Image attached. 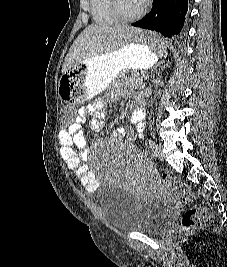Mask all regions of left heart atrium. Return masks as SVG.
Segmentation results:
<instances>
[{
  "instance_id": "left-heart-atrium-1",
  "label": "left heart atrium",
  "mask_w": 227,
  "mask_h": 267,
  "mask_svg": "<svg viewBox=\"0 0 227 267\" xmlns=\"http://www.w3.org/2000/svg\"><path fill=\"white\" fill-rule=\"evenodd\" d=\"M143 4H145L148 0H140Z\"/></svg>"
}]
</instances>
